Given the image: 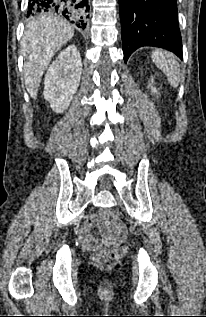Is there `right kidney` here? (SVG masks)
Here are the masks:
<instances>
[{
	"mask_svg": "<svg viewBox=\"0 0 206 317\" xmlns=\"http://www.w3.org/2000/svg\"><path fill=\"white\" fill-rule=\"evenodd\" d=\"M82 73V61L75 45L61 51L49 67L44 81V98L56 113H63L76 93Z\"/></svg>",
	"mask_w": 206,
	"mask_h": 317,
	"instance_id": "ca27d5eb",
	"label": "right kidney"
}]
</instances>
